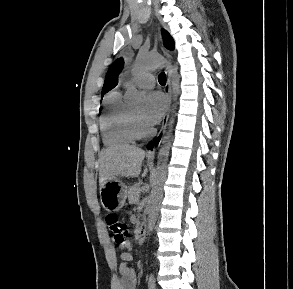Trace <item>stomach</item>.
<instances>
[{"mask_svg":"<svg viewBox=\"0 0 293 289\" xmlns=\"http://www.w3.org/2000/svg\"><path fill=\"white\" fill-rule=\"evenodd\" d=\"M126 198L127 186L117 178L107 181L100 186V200L105 210H119L123 207Z\"/></svg>","mask_w":293,"mask_h":289,"instance_id":"0dacf381","label":"stomach"}]
</instances>
